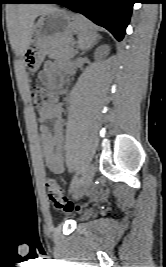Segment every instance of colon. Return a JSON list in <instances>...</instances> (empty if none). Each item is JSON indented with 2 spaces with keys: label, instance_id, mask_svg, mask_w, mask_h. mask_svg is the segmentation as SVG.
I'll return each mask as SVG.
<instances>
[{
  "label": "colon",
  "instance_id": "colon-1",
  "mask_svg": "<svg viewBox=\"0 0 166 267\" xmlns=\"http://www.w3.org/2000/svg\"><path fill=\"white\" fill-rule=\"evenodd\" d=\"M31 96L33 99L34 106L39 111H44L55 104L57 97L56 94L44 87L43 85L36 84L31 88ZM46 191L49 200L58 210L70 212L77 209L78 206L73 202L69 201L59 186V184L52 178L46 181Z\"/></svg>",
  "mask_w": 166,
  "mask_h": 267
}]
</instances>
